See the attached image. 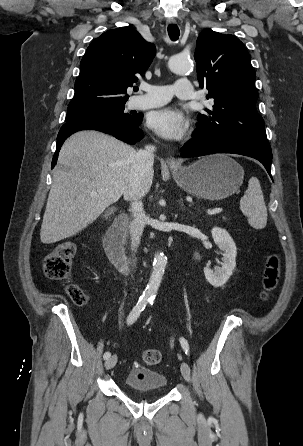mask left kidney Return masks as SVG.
<instances>
[{
    "instance_id": "5707ae66",
    "label": "left kidney",
    "mask_w": 303,
    "mask_h": 446,
    "mask_svg": "<svg viewBox=\"0 0 303 446\" xmlns=\"http://www.w3.org/2000/svg\"><path fill=\"white\" fill-rule=\"evenodd\" d=\"M215 244L223 251L221 267H210L208 263L204 268L206 280L214 287L223 286L236 267L237 247L230 234L222 228L214 227L211 231Z\"/></svg>"
}]
</instances>
